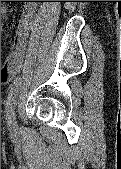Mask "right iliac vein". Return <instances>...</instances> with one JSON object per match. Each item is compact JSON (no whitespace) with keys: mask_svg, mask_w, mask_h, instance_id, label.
<instances>
[{"mask_svg":"<svg viewBox=\"0 0 121 169\" xmlns=\"http://www.w3.org/2000/svg\"><path fill=\"white\" fill-rule=\"evenodd\" d=\"M8 125H9L10 129H12V130L17 128V121H16V118H15V114H12L8 118Z\"/></svg>","mask_w":121,"mask_h":169,"instance_id":"63e3f726","label":"right iliac vein"}]
</instances>
